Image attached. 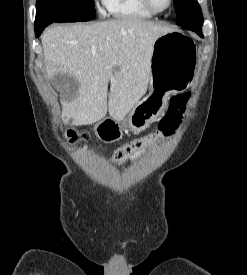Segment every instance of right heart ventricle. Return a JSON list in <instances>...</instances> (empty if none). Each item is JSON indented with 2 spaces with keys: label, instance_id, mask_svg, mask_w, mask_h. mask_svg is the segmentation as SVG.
Returning <instances> with one entry per match:
<instances>
[{
  "label": "right heart ventricle",
  "instance_id": "1",
  "mask_svg": "<svg viewBox=\"0 0 247 275\" xmlns=\"http://www.w3.org/2000/svg\"><path fill=\"white\" fill-rule=\"evenodd\" d=\"M106 5L109 14L118 19H149L154 16L141 0H107Z\"/></svg>",
  "mask_w": 247,
  "mask_h": 275
}]
</instances>
